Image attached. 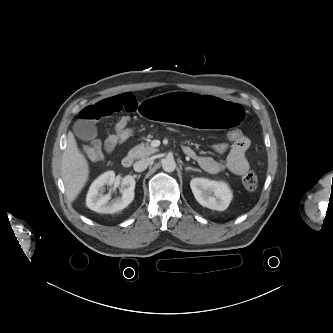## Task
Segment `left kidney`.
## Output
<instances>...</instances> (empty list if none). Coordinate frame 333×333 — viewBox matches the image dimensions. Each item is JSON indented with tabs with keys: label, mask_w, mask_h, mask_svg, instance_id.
<instances>
[{
	"label": "left kidney",
	"mask_w": 333,
	"mask_h": 333,
	"mask_svg": "<svg viewBox=\"0 0 333 333\" xmlns=\"http://www.w3.org/2000/svg\"><path fill=\"white\" fill-rule=\"evenodd\" d=\"M195 199L204 207L224 211L232 200V192L225 182L194 178L190 182Z\"/></svg>",
	"instance_id": "left-kidney-1"
}]
</instances>
